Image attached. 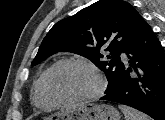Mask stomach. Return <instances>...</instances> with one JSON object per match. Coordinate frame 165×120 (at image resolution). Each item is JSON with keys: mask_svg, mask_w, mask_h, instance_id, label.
<instances>
[{"mask_svg": "<svg viewBox=\"0 0 165 120\" xmlns=\"http://www.w3.org/2000/svg\"><path fill=\"white\" fill-rule=\"evenodd\" d=\"M53 117H57V120H120V114L113 106L91 103H80L46 119L52 120Z\"/></svg>", "mask_w": 165, "mask_h": 120, "instance_id": "1", "label": "stomach"}]
</instances>
